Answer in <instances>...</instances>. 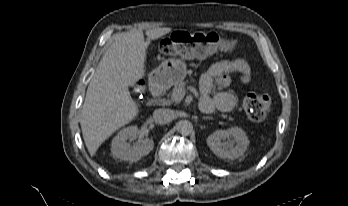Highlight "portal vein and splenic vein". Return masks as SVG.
<instances>
[{
    "label": "portal vein and splenic vein",
    "mask_w": 348,
    "mask_h": 206,
    "mask_svg": "<svg viewBox=\"0 0 348 206\" xmlns=\"http://www.w3.org/2000/svg\"><path fill=\"white\" fill-rule=\"evenodd\" d=\"M184 95H185V92L178 91V92L173 94L172 100L174 102H179L183 99Z\"/></svg>",
    "instance_id": "1"
}]
</instances>
